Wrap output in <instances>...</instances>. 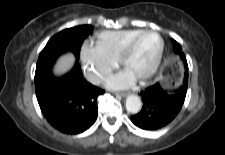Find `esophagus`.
I'll return each mask as SVG.
<instances>
[{
  "instance_id": "34e87169",
  "label": "esophagus",
  "mask_w": 225,
  "mask_h": 155,
  "mask_svg": "<svg viewBox=\"0 0 225 155\" xmlns=\"http://www.w3.org/2000/svg\"><path fill=\"white\" fill-rule=\"evenodd\" d=\"M116 96H121V97H125L127 96V93L125 92H118V93H115Z\"/></svg>"
}]
</instances>
